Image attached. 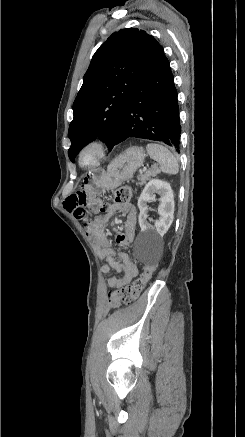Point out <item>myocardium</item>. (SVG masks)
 Segmentation results:
<instances>
[{
    "label": "myocardium",
    "mask_w": 245,
    "mask_h": 437,
    "mask_svg": "<svg viewBox=\"0 0 245 437\" xmlns=\"http://www.w3.org/2000/svg\"><path fill=\"white\" fill-rule=\"evenodd\" d=\"M107 144L102 139H93L85 143L78 151L77 160L80 166L91 168L96 166L106 155ZM91 152L92 159L89 162L83 161L85 153Z\"/></svg>",
    "instance_id": "1"
}]
</instances>
